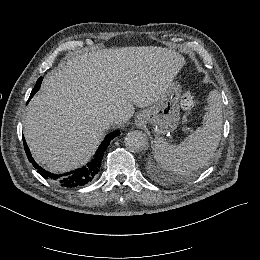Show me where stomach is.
Here are the masks:
<instances>
[{
  "instance_id": "obj_1",
  "label": "stomach",
  "mask_w": 260,
  "mask_h": 260,
  "mask_svg": "<svg viewBox=\"0 0 260 260\" xmlns=\"http://www.w3.org/2000/svg\"><path fill=\"white\" fill-rule=\"evenodd\" d=\"M180 93V83L172 81L157 102L137 115L136 125L143 126L149 123L157 137L170 138L180 120Z\"/></svg>"
}]
</instances>
